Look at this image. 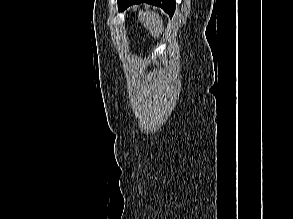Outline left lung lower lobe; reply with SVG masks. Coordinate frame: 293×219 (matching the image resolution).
Segmentation results:
<instances>
[{"label": "left lung lower lobe", "instance_id": "left-lung-lower-lobe-1", "mask_svg": "<svg viewBox=\"0 0 293 219\" xmlns=\"http://www.w3.org/2000/svg\"><path fill=\"white\" fill-rule=\"evenodd\" d=\"M143 2L161 7L170 15V17L174 13L176 4L175 0H118V6L120 10H123L132 4H139Z\"/></svg>", "mask_w": 293, "mask_h": 219}]
</instances>
